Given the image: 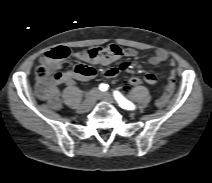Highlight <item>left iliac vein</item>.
I'll list each match as a JSON object with an SVG mask.
<instances>
[{"instance_id": "left-iliac-vein-1", "label": "left iliac vein", "mask_w": 212, "mask_h": 183, "mask_svg": "<svg viewBox=\"0 0 212 183\" xmlns=\"http://www.w3.org/2000/svg\"><path fill=\"white\" fill-rule=\"evenodd\" d=\"M98 99L107 101L110 103H114V101H115L114 98L112 97V95L109 93H100Z\"/></svg>"}]
</instances>
